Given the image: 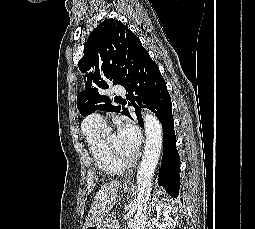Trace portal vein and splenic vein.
Listing matches in <instances>:
<instances>
[{
	"label": "portal vein and splenic vein",
	"mask_w": 255,
	"mask_h": 229,
	"mask_svg": "<svg viewBox=\"0 0 255 229\" xmlns=\"http://www.w3.org/2000/svg\"><path fill=\"white\" fill-rule=\"evenodd\" d=\"M115 227H116V229H118V228L120 227V225L117 223V224L115 225Z\"/></svg>",
	"instance_id": "portal-vein-and-splenic-vein-1"
}]
</instances>
